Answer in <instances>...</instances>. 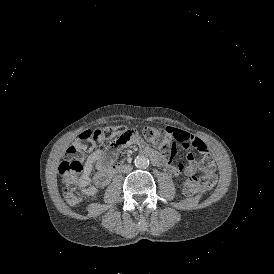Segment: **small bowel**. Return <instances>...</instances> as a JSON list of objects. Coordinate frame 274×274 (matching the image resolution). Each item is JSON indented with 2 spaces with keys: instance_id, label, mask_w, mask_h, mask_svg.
<instances>
[{
  "instance_id": "c3829d8e",
  "label": "small bowel",
  "mask_w": 274,
  "mask_h": 274,
  "mask_svg": "<svg viewBox=\"0 0 274 274\" xmlns=\"http://www.w3.org/2000/svg\"><path fill=\"white\" fill-rule=\"evenodd\" d=\"M167 130L170 135L177 138V141L180 142L181 147L185 150H188L190 147H194L202 153L208 150L206 144L202 140L184 130L176 131L171 125L168 126ZM129 143L139 147L142 151L148 148L144 140L137 135H133ZM125 146L126 145L118 147L110 146L103 150H95L87 157L84 164V170L78 181L79 189L84 195L93 196L97 194L100 189L108 185L118 168L116 159L121 149ZM187 159L189 163L185 166L173 164L170 160L165 159L159 154H156L153 161L156 165L164 167L174 175L184 173L191 176L196 171L195 161L198 159L197 152H188ZM94 170L96 172L91 177V173Z\"/></svg>"
}]
</instances>
